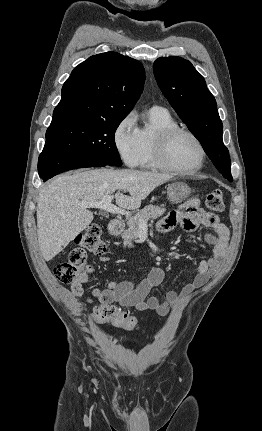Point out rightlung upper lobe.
Instances as JSON below:
<instances>
[{
  "label": "right lung upper lobe",
  "mask_w": 262,
  "mask_h": 431,
  "mask_svg": "<svg viewBox=\"0 0 262 431\" xmlns=\"http://www.w3.org/2000/svg\"><path fill=\"white\" fill-rule=\"evenodd\" d=\"M144 80V67L135 59L116 52L93 55L75 67L64 83L51 125L125 118L138 100Z\"/></svg>",
  "instance_id": "obj_1"
}]
</instances>
